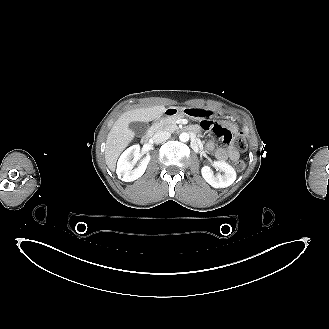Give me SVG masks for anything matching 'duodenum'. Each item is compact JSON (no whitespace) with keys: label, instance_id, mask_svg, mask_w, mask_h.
<instances>
[{"label":"duodenum","instance_id":"1","mask_svg":"<svg viewBox=\"0 0 329 329\" xmlns=\"http://www.w3.org/2000/svg\"><path fill=\"white\" fill-rule=\"evenodd\" d=\"M178 113V111L174 108H167L165 111H164V115L166 117H172V116H175L176 114ZM151 137H152V133L151 132H147L143 137H142V142L144 144H147L149 143V141L151 140Z\"/></svg>","mask_w":329,"mask_h":329}]
</instances>
